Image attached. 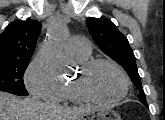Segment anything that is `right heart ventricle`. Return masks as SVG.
I'll return each instance as SVG.
<instances>
[{
	"label": "right heart ventricle",
	"mask_w": 165,
	"mask_h": 120,
	"mask_svg": "<svg viewBox=\"0 0 165 120\" xmlns=\"http://www.w3.org/2000/svg\"><path fill=\"white\" fill-rule=\"evenodd\" d=\"M72 58L78 64H82V63H84L85 61L88 60V56L81 57V58H77V57H72ZM59 101H61V102H71V103L81 102V100L77 97V95L75 94V92L73 90L72 82L62 85V94H61V98H60Z\"/></svg>",
	"instance_id": "e07e8e85"
}]
</instances>
